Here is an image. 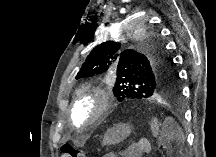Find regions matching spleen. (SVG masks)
<instances>
[{
	"instance_id": "3e777b00",
	"label": "spleen",
	"mask_w": 216,
	"mask_h": 157,
	"mask_svg": "<svg viewBox=\"0 0 216 157\" xmlns=\"http://www.w3.org/2000/svg\"><path fill=\"white\" fill-rule=\"evenodd\" d=\"M159 140L161 144L166 146L169 152H173L175 149H183L185 142L184 133L172 117L165 119Z\"/></svg>"
}]
</instances>
